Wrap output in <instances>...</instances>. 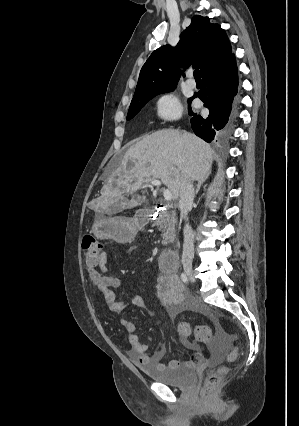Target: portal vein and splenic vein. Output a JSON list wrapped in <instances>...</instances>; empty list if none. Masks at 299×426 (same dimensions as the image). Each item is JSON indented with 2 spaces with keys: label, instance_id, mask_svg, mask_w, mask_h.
Returning a JSON list of instances; mask_svg holds the SVG:
<instances>
[{
  "label": "portal vein and splenic vein",
  "instance_id": "18ae733b",
  "mask_svg": "<svg viewBox=\"0 0 299 426\" xmlns=\"http://www.w3.org/2000/svg\"><path fill=\"white\" fill-rule=\"evenodd\" d=\"M148 184L153 185V186H160L161 185V181L160 180H152ZM163 196H164V198H165L166 201H171L172 198H173V195H172L171 191L168 190V189H164L163 190Z\"/></svg>",
  "mask_w": 299,
  "mask_h": 426
}]
</instances>
